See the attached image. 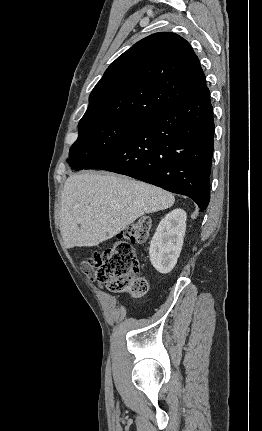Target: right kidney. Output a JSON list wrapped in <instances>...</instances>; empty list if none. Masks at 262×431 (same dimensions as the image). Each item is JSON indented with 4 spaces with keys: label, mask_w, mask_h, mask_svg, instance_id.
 <instances>
[{
    "label": "right kidney",
    "mask_w": 262,
    "mask_h": 431,
    "mask_svg": "<svg viewBox=\"0 0 262 431\" xmlns=\"http://www.w3.org/2000/svg\"><path fill=\"white\" fill-rule=\"evenodd\" d=\"M186 212L175 209L159 223L151 240L149 255L153 267L160 273L172 271L180 255L186 230Z\"/></svg>",
    "instance_id": "1"
}]
</instances>
